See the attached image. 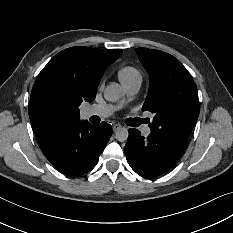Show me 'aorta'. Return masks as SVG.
I'll return each instance as SVG.
<instances>
[{
    "instance_id": "762f6f07",
    "label": "aorta",
    "mask_w": 233,
    "mask_h": 233,
    "mask_svg": "<svg viewBox=\"0 0 233 233\" xmlns=\"http://www.w3.org/2000/svg\"><path fill=\"white\" fill-rule=\"evenodd\" d=\"M122 96L123 90L118 83L111 82L106 86L104 91L105 100L115 102L118 101ZM128 135V130L125 127L115 131L116 139L121 142L126 141L128 139Z\"/></svg>"
}]
</instances>
